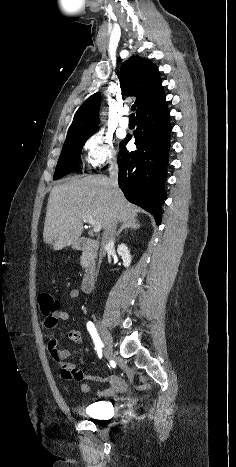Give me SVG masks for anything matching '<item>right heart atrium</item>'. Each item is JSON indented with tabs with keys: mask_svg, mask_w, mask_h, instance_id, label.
<instances>
[{
	"mask_svg": "<svg viewBox=\"0 0 236 467\" xmlns=\"http://www.w3.org/2000/svg\"><path fill=\"white\" fill-rule=\"evenodd\" d=\"M83 147L86 161L92 168H99L114 159L113 138L102 131H96L89 136Z\"/></svg>",
	"mask_w": 236,
	"mask_h": 467,
	"instance_id": "obj_1",
	"label": "right heart atrium"
}]
</instances>
